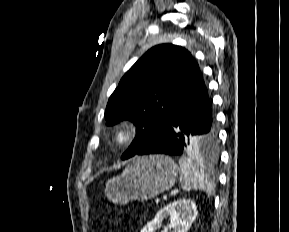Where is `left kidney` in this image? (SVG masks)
Here are the masks:
<instances>
[{"instance_id":"obj_1","label":"left kidney","mask_w":289,"mask_h":232,"mask_svg":"<svg viewBox=\"0 0 289 232\" xmlns=\"http://www.w3.org/2000/svg\"><path fill=\"white\" fill-rule=\"evenodd\" d=\"M197 214V207L193 201L180 199L159 210L155 218L147 223L141 232H155L166 217H170V224L162 232H187Z\"/></svg>"}]
</instances>
